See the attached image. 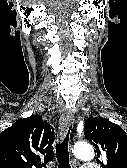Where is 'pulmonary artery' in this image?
<instances>
[{
    "mask_svg": "<svg viewBox=\"0 0 127 168\" xmlns=\"http://www.w3.org/2000/svg\"><path fill=\"white\" fill-rule=\"evenodd\" d=\"M81 168H99V166L95 163H85Z\"/></svg>",
    "mask_w": 127,
    "mask_h": 168,
    "instance_id": "e3ab8cb5",
    "label": "pulmonary artery"
}]
</instances>
